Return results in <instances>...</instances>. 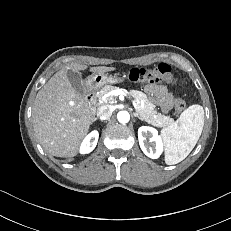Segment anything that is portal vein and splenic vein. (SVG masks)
Here are the masks:
<instances>
[{
	"instance_id": "portal-vein-and-splenic-vein-1",
	"label": "portal vein and splenic vein",
	"mask_w": 231,
	"mask_h": 231,
	"mask_svg": "<svg viewBox=\"0 0 231 231\" xmlns=\"http://www.w3.org/2000/svg\"><path fill=\"white\" fill-rule=\"evenodd\" d=\"M127 91L124 90V89H117V90H113L107 94H105L103 96V100L105 98H108V97H113V96H118V95H126ZM132 103H133V106L135 109H137V103L135 102V100H132Z\"/></svg>"
}]
</instances>
